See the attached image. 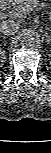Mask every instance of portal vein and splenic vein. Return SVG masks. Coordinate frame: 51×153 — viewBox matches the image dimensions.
Masks as SVG:
<instances>
[{"label": "portal vein and splenic vein", "mask_w": 51, "mask_h": 153, "mask_svg": "<svg viewBox=\"0 0 51 153\" xmlns=\"http://www.w3.org/2000/svg\"><path fill=\"white\" fill-rule=\"evenodd\" d=\"M28 14H29V11L23 9V10L19 11V13H15L14 17L23 18V17H26Z\"/></svg>", "instance_id": "portal-vein-and-splenic-vein-1"}]
</instances>
